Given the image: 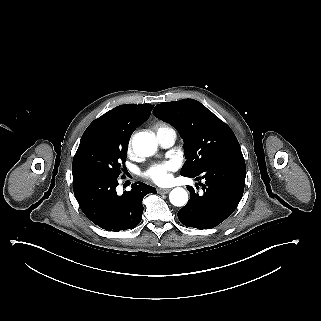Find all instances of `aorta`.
Instances as JSON below:
<instances>
[{"label":"aorta","instance_id":"762f6f07","mask_svg":"<svg viewBox=\"0 0 321 321\" xmlns=\"http://www.w3.org/2000/svg\"><path fill=\"white\" fill-rule=\"evenodd\" d=\"M134 152L138 156H151L157 150L155 137L147 132L137 133L132 141ZM170 202L177 207L184 206L188 201V194L184 188H174L169 195Z\"/></svg>","mask_w":321,"mask_h":321}]
</instances>
